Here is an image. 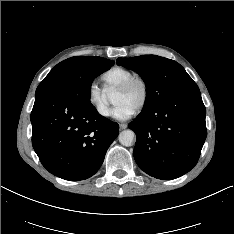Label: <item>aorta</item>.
Segmentation results:
<instances>
[{
	"mask_svg": "<svg viewBox=\"0 0 234 234\" xmlns=\"http://www.w3.org/2000/svg\"><path fill=\"white\" fill-rule=\"evenodd\" d=\"M135 138V133L132 130H124L119 134V142L123 146H131Z\"/></svg>",
	"mask_w": 234,
	"mask_h": 234,
	"instance_id": "obj_1",
	"label": "aorta"
}]
</instances>
